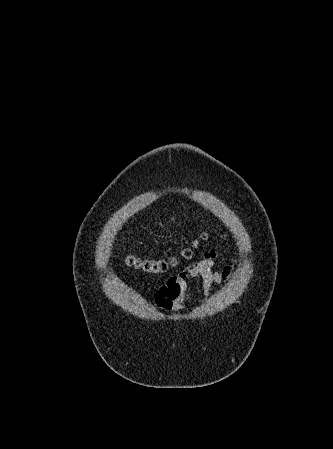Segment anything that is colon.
I'll list each match as a JSON object with an SVG mask.
<instances>
[{
    "instance_id": "obj_1",
    "label": "colon",
    "mask_w": 333,
    "mask_h": 449,
    "mask_svg": "<svg viewBox=\"0 0 333 449\" xmlns=\"http://www.w3.org/2000/svg\"><path fill=\"white\" fill-rule=\"evenodd\" d=\"M207 234L203 233L198 239L192 241L188 246H185L180 251V256L188 259L192 256L193 251L197 248L199 241L206 240ZM175 258H141L135 255H130L126 258L128 266L137 270H141L149 274H159L166 272L175 263Z\"/></svg>"
}]
</instances>
